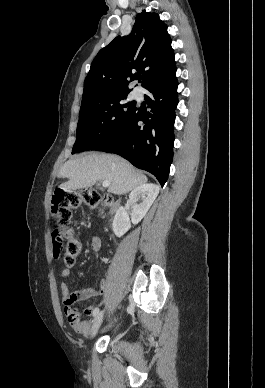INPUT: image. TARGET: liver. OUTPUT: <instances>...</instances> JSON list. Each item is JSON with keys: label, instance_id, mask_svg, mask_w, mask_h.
<instances>
[{"label": "liver", "instance_id": "1", "mask_svg": "<svg viewBox=\"0 0 265 388\" xmlns=\"http://www.w3.org/2000/svg\"><path fill=\"white\" fill-rule=\"evenodd\" d=\"M58 178H68V182L60 186L66 192L91 188L96 182L108 180L110 186L107 192L118 196L128 194L137 186L148 182L146 176L135 172L127 160L110 154H89L71 158L60 168Z\"/></svg>", "mask_w": 265, "mask_h": 388}]
</instances>
